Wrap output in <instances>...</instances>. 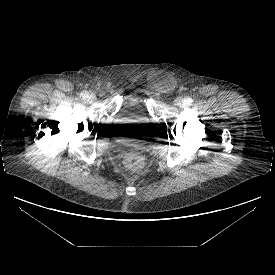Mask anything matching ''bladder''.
Returning a JSON list of instances; mask_svg holds the SVG:
<instances>
[{
    "label": "bladder",
    "mask_w": 275,
    "mask_h": 275,
    "mask_svg": "<svg viewBox=\"0 0 275 275\" xmlns=\"http://www.w3.org/2000/svg\"><path fill=\"white\" fill-rule=\"evenodd\" d=\"M112 124L116 127H147L150 125L148 116L143 115L139 117H129L122 113H117L112 117Z\"/></svg>",
    "instance_id": "bladder-1"
}]
</instances>
